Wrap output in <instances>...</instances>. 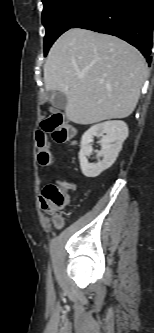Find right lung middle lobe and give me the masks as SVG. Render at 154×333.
Masks as SVG:
<instances>
[{
    "instance_id": "dd1d6c3e",
    "label": "right lung middle lobe",
    "mask_w": 154,
    "mask_h": 333,
    "mask_svg": "<svg viewBox=\"0 0 154 333\" xmlns=\"http://www.w3.org/2000/svg\"><path fill=\"white\" fill-rule=\"evenodd\" d=\"M99 0H42V23L46 28L44 52L54 41L81 20Z\"/></svg>"
}]
</instances>
